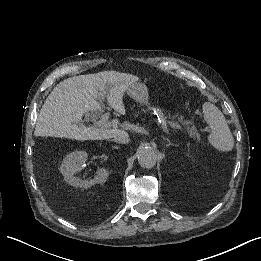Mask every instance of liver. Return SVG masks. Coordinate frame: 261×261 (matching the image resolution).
<instances>
[{"instance_id":"6515ba94","label":"liver","mask_w":261,"mask_h":261,"mask_svg":"<svg viewBox=\"0 0 261 261\" xmlns=\"http://www.w3.org/2000/svg\"><path fill=\"white\" fill-rule=\"evenodd\" d=\"M138 81L134 75L109 71L62 81L43 104L34 136L82 141L116 137L120 131H125L120 119H112L110 128H97L84 124L82 118L96 119L95 113L105 97L116 112L126 115L124 94Z\"/></svg>"}]
</instances>
